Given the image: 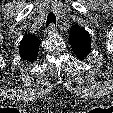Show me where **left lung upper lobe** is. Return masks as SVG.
Here are the masks:
<instances>
[{
  "label": "left lung upper lobe",
  "instance_id": "left-lung-upper-lobe-1",
  "mask_svg": "<svg viewBox=\"0 0 113 113\" xmlns=\"http://www.w3.org/2000/svg\"><path fill=\"white\" fill-rule=\"evenodd\" d=\"M69 43L80 60H83L91 52L90 34L78 25L71 27Z\"/></svg>",
  "mask_w": 113,
  "mask_h": 113
}]
</instances>
